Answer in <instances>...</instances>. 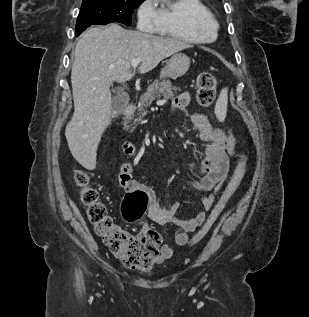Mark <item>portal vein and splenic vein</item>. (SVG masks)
<instances>
[{
    "instance_id": "portal-vein-and-splenic-vein-1",
    "label": "portal vein and splenic vein",
    "mask_w": 309,
    "mask_h": 317,
    "mask_svg": "<svg viewBox=\"0 0 309 317\" xmlns=\"http://www.w3.org/2000/svg\"><path fill=\"white\" fill-rule=\"evenodd\" d=\"M140 62H141V59H133L131 61V65L135 69L139 65Z\"/></svg>"
}]
</instances>
